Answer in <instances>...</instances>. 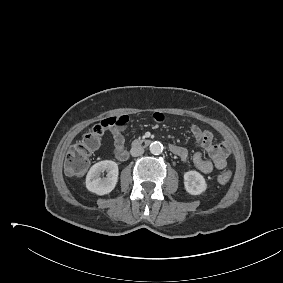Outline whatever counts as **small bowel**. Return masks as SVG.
Returning a JSON list of instances; mask_svg holds the SVG:
<instances>
[{
  "instance_id": "small-bowel-1",
  "label": "small bowel",
  "mask_w": 283,
  "mask_h": 283,
  "mask_svg": "<svg viewBox=\"0 0 283 283\" xmlns=\"http://www.w3.org/2000/svg\"><path fill=\"white\" fill-rule=\"evenodd\" d=\"M153 120L161 122L163 115L159 112L153 114ZM129 119L126 115H119L104 119L101 124L105 130H109L114 139L113 154L118 160H125L128 156L124 131ZM191 132L202 147L203 151L208 158H205L203 153L198 151L192 156V162L198 170L203 173H210L214 169H224L227 166V158L230 155V147L226 142L214 143L213 134L210 130L203 129L197 124H191ZM173 154L178 156L183 162L188 161L189 152L188 150L180 145L172 144L170 147Z\"/></svg>"
}]
</instances>
